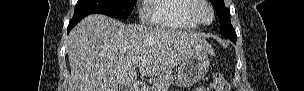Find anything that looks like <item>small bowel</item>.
<instances>
[{"instance_id": "1", "label": "small bowel", "mask_w": 304, "mask_h": 91, "mask_svg": "<svg viewBox=\"0 0 304 91\" xmlns=\"http://www.w3.org/2000/svg\"><path fill=\"white\" fill-rule=\"evenodd\" d=\"M205 89L203 87H200L198 89H196V91H204Z\"/></svg>"}]
</instances>
